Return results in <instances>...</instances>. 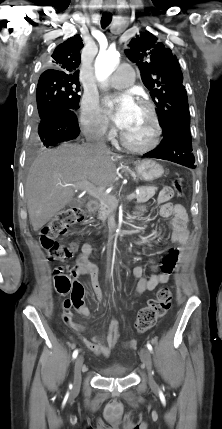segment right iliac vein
Listing matches in <instances>:
<instances>
[{"label": "right iliac vein", "mask_w": 222, "mask_h": 429, "mask_svg": "<svg viewBox=\"0 0 222 429\" xmlns=\"http://www.w3.org/2000/svg\"><path fill=\"white\" fill-rule=\"evenodd\" d=\"M83 365V357L78 356L74 363V389L77 390L81 384V368Z\"/></svg>", "instance_id": "1"}]
</instances>
